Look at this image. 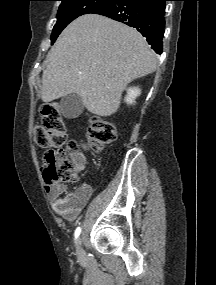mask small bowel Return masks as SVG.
<instances>
[{"label":"small bowel","instance_id":"small-bowel-1","mask_svg":"<svg viewBox=\"0 0 216 285\" xmlns=\"http://www.w3.org/2000/svg\"><path fill=\"white\" fill-rule=\"evenodd\" d=\"M86 158L81 153L75 154V167L78 171L85 168ZM65 186L61 183H52L46 185V191L53 201L54 211L67 220H74L87 204L91 188L81 187L75 192L65 194Z\"/></svg>","mask_w":216,"mask_h":285}]
</instances>
